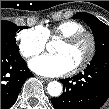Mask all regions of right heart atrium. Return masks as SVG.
<instances>
[{
  "label": "right heart atrium",
  "instance_id": "obj_1",
  "mask_svg": "<svg viewBox=\"0 0 109 109\" xmlns=\"http://www.w3.org/2000/svg\"><path fill=\"white\" fill-rule=\"evenodd\" d=\"M47 41L48 38L40 27L22 30L16 35L19 52L25 58H31L43 52Z\"/></svg>",
  "mask_w": 109,
  "mask_h": 109
}]
</instances>
